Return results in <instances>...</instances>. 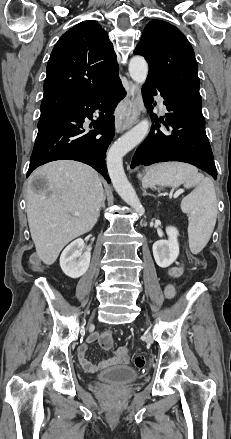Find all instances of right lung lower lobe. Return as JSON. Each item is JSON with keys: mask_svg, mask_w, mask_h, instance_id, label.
Returning <instances> with one entry per match:
<instances>
[{"mask_svg": "<svg viewBox=\"0 0 231 439\" xmlns=\"http://www.w3.org/2000/svg\"><path fill=\"white\" fill-rule=\"evenodd\" d=\"M125 95L118 77L106 90L40 119L27 177L47 162L76 160L92 166L110 183L106 150L115 131L114 109ZM96 110L99 111L98 119L86 126L84 119H92Z\"/></svg>", "mask_w": 231, "mask_h": 439, "instance_id": "1", "label": "right lung lower lobe"}]
</instances>
